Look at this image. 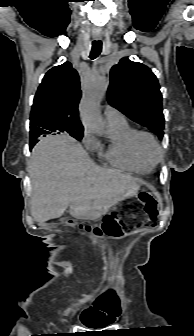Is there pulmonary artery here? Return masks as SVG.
<instances>
[{
	"label": "pulmonary artery",
	"mask_w": 194,
	"mask_h": 336,
	"mask_svg": "<svg viewBox=\"0 0 194 336\" xmlns=\"http://www.w3.org/2000/svg\"><path fill=\"white\" fill-rule=\"evenodd\" d=\"M103 110L105 119L109 125L121 124L126 121L121 112L108 104L104 105Z\"/></svg>",
	"instance_id": "1"
}]
</instances>
